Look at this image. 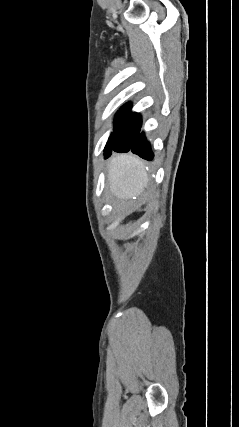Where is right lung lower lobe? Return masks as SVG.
I'll return each mask as SVG.
<instances>
[{
    "label": "right lung lower lobe",
    "mask_w": 239,
    "mask_h": 427,
    "mask_svg": "<svg viewBox=\"0 0 239 427\" xmlns=\"http://www.w3.org/2000/svg\"><path fill=\"white\" fill-rule=\"evenodd\" d=\"M139 132H140V130H139ZM139 132L135 136L131 146L128 149L117 150L116 152L122 153V152L131 151L134 154L139 155L143 159L151 161L153 159V153L151 151L150 145L146 141L144 134L143 133L139 134Z\"/></svg>",
    "instance_id": "obj_1"
}]
</instances>
